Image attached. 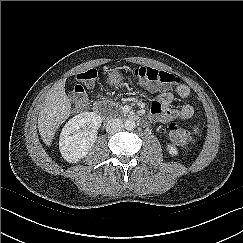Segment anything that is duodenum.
<instances>
[{
    "label": "duodenum",
    "mask_w": 243,
    "mask_h": 243,
    "mask_svg": "<svg viewBox=\"0 0 243 243\" xmlns=\"http://www.w3.org/2000/svg\"><path fill=\"white\" fill-rule=\"evenodd\" d=\"M94 111L96 112V113H100V111L98 110V108H95L94 109ZM131 119H133V120H138V117L136 116V115H132V116H129Z\"/></svg>",
    "instance_id": "obj_1"
}]
</instances>
